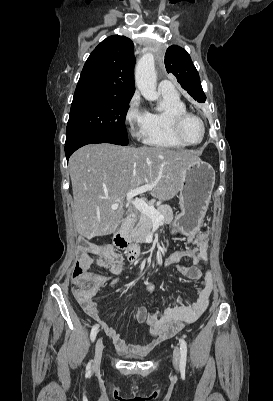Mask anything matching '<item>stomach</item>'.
I'll return each instance as SVG.
<instances>
[{
  "mask_svg": "<svg viewBox=\"0 0 273 401\" xmlns=\"http://www.w3.org/2000/svg\"><path fill=\"white\" fill-rule=\"evenodd\" d=\"M179 205L181 213L175 217L173 227L181 235H196L202 227L215 184V170L209 162L195 160L181 172Z\"/></svg>",
  "mask_w": 273,
  "mask_h": 401,
  "instance_id": "1",
  "label": "stomach"
}]
</instances>
